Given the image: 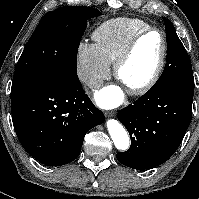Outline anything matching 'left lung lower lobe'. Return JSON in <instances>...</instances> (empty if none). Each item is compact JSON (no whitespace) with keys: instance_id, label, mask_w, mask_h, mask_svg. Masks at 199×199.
<instances>
[{"instance_id":"1","label":"left lung lower lobe","mask_w":199,"mask_h":199,"mask_svg":"<svg viewBox=\"0 0 199 199\" xmlns=\"http://www.w3.org/2000/svg\"><path fill=\"white\" fill-rule=\"evenodd\" d=\"M194 83L149 90L117 118L127 128L131 146L118 152L123 165L143 170L167 161L181 144L192 117Z\"/></svg>"}]
</instances>
